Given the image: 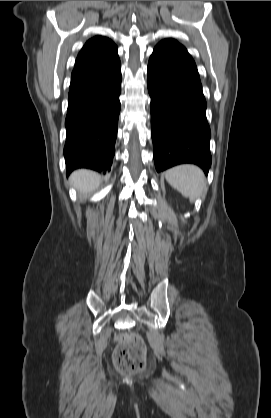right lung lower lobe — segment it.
Returning a JSON list of instances; mask_svg holds the SVG:
<instances>
[{"mask_svg": "<svg viewBox=\"0 0 271 418\" xmlns=\"http://www.w3.org/2000/svg\"><path fill=\"white\" fill-rule=\"evenodd\" d=\"M120 60L69 89L64 156L77 168L109 171L115 153L121 93Z\"/></svg>", "mask_w": 271, "mask_h": 418, "instance_id": "obj_1", "label": "right lung lower lobe"}]
</instances>
